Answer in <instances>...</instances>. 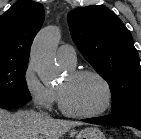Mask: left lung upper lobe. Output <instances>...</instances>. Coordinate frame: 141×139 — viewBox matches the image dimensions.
Wrapping results in <instances>:
<instances>
[{"label":"left lung upper lobe","instance_id":"1","mask_svg":"<svg viewBox=\"0 0 141 139\" xmlns=\"http://www.w3.org/2000/svg\"><path fill=\"white\" fill-rule=\"evenodd\" d=\"M68 23L74 43L110 86L112 113L141 106V66L123 22L109 9L92 5L72 10Z\"/></svg>","mask_w":141,"mask_h":139}]
</instances>
